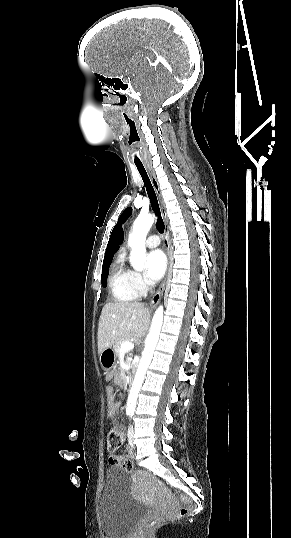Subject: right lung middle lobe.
<instances>
[{
    "instance_id": "right-lung-middle-lobe-1",
    "label": "right lung middle lobe",
    "mask_w": 291,
    "mask_h": 538,
    "mask_svg": "<svg viewBox=\"0 0 291 538\" xmlns=\"http://www.w3.org/2000/svg\"><path fill=\"white\" fill-rule=\"evenodd\" d=\"M110 262L111 260L103 262L101 282L104 287H106L107 284Z\"/></svg>"
}]
</instances>
